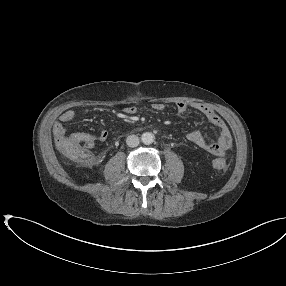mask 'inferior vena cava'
Segmentation results:
<instances>
[{"mask_svg":"<svg viewBox=\"0 0 286 286\" xmlns=\"http://www.w3.org/2000/svg\"><path fill=\"white\" fill-rule=\"evenodd\" d=\"M126 143L129 147H137L139 145V137L136 135H129L126 139Z\"/></svg>","mask_w":286,"mask_h":286,"instance_id":"inferior-vena-cava-1","label":"inferior vena cava"}]
</instances>
